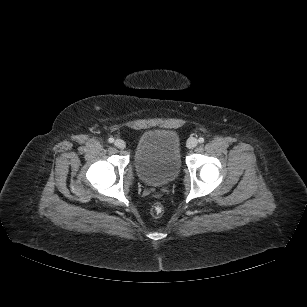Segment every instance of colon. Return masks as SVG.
Returning <instances> with one entry per match:
<instances>
[{
	"instance_id": "1",
	"label": "colon",
	"mask_w": 307,
	"mask_h": 307,
	"mask_svg": "<svg viewBox=\"0 0 307 307\" xmlns=\"http://www.w3.org/2000/svg\"><path fill=\"white\" fill-rule=\"evenodd\" d=\"M150 213L153 217H160L163 214V207L160 204H154L151 207Z\"/></svg>"
}]
</instances>
